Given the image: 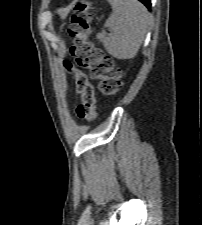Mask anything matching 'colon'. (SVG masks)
<instances>
[{
    "label": "colon",
    "mask_w": 202,
    "mask_h": 225,
    "mask_svg": "<svg viewBox=\"0 0 202 225\" xmlns=\"http://www.w3.org/2000/svg\"><path fill=\"white\" fill-rule=\"evenodd\" d=\"M91 8V4L86 1L76 5L70 28L73 61L65 64L69 71L79 70L75 75L77 90L81 96L77 114L80 119L90 123L97 116L95 89L90 79L98 80L100 93L107 97L116 95L123 85L122 72L115 66L113 58L89 41Z\"/></svg>",
    "instance_id": "1"
}]
</instances>
